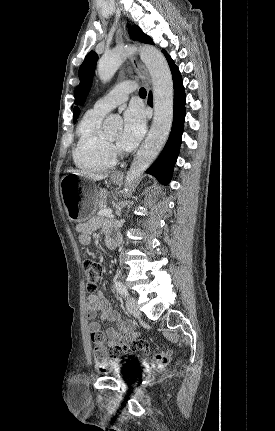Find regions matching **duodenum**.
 I'll use <instances>...</instances> for the list:
<instances>
[{"instance_id":"duodenum-1","label":"duodenum","mask_w":275,"mask_h":431,"mask_svg":"<svg viewBox=\"0 0 275 431\" xmlns=\"http://www.w3.org/2000/svg\"><path fill=\"white\" fill-rule=\"evenodd\" d=\"M106 243L110 248H114L116 246V241L112 237H107Z\"/></svg>"}]
</instances>
